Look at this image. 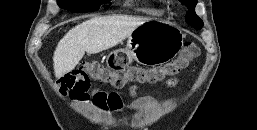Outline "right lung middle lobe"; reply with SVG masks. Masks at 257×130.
Instances as JSON below:
<instances>
[{
  "label": "right lung middle lobe",
  "instance_id": "right-lung-middle-lobe-1",
  "mask_svg": "<svg viewBox=\"0 0 257 130\" xmlns=\"http://www.w3.org/2000/svg\"><path fill=\"white\" fill-rule=\"evenodd\" d=\"M104 0H58L60 7L73 12H87L98 9Z\"/></svg>",
  "mask_w": 257,
  "mask_h": 130
}]
</instances>
